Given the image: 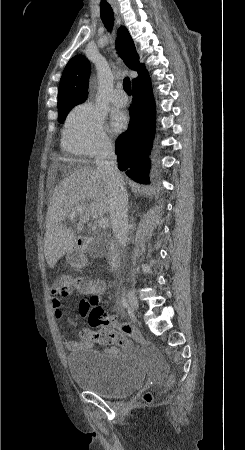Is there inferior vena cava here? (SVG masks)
Segmentation results:
<instances>
[{"label":"inferior vena cava","mask_w":245,"mask_h":450,"mask_svg":"<svg viewBox=\"0 0 245 450\" xmlns=\"http://www.w3.org/2000/svg\"><path fill=\"white\" fill-rule=\"evenodd\" d=\"M117 156L111 143H104L96 157V170L102 175L110 202V221L118 243L126 247L128 237V194L117 168Z\"/></svg>","instance_id":"inferior-vena-cava-1"}]
</instances>
